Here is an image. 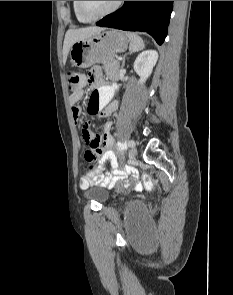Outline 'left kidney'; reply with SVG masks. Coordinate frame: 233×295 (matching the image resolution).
I'll return each instance as SVG.
<instances>
[{"label": "left kidney", "mask_w": 233, "mask_h": 295, "mask_svg": "<svg viewBox=\"0 0 233 295\" xmlns=\"http://www.w3.org/2000/svg\"><path fill=\"white\" fill-rule=\"evenodd\" d=\"M157 60L158 53L156 50H146L137 56L134 62V70L140 76V84H143L151 75Z\"/></svg>", "instance_id": "5707ae66"}]
</instances>
